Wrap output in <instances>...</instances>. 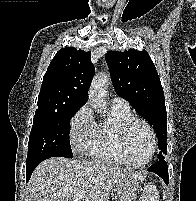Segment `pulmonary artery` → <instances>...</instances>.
Segmentation results:
<instances>
[{
	"label": "pulmonary artery",
	"instance_id": "e3ab8cb5",
	"mask_svg": "<svg viewBox=\"0 0 196 201\" xmlns=\"http://www.w3.org/2000/svg\"><path fill=\"white\" fill-rule=\"evenodd\" d=\"M112 106H115L118 108H125V109L130 108V106L126 100H124L122 98H118V97H116L112 100Z\"/></svg>",
	"mask_w": 196,
	"mask_h": 201
}]
</instances>
